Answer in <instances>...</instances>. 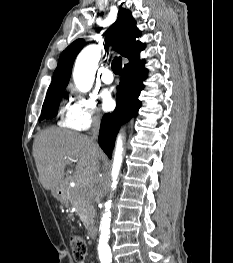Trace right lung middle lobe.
I'll list each match as a JSON object with an SVG mask.
<instances>
[{
  "label": "right lung middle lobe",
  "instance_id": "1",
  "mask_svg": "<svg viewBox=\"0 0 233 263\" xmlns=\"http://www.w3.org/2000/svg\"><path fill=\"white\" fill-rule=\"evenodd\" d=\"M64 90L65 88H61L47 93L43 103L41 116L39 118L40 120L53 118L57 115L58 107L64 94Z\"/></svg>",
  "mask_w": 233,
  "mask_h": 263
}]
</instances>
